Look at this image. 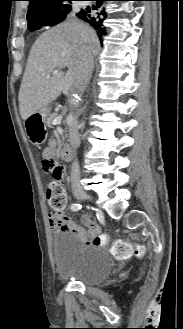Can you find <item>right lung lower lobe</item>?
Returning a JSON list of instances; mask_svg holds the SVG:
<instances>
[{
  "label": "right lung lower lobe",
  "instance_id": "1",
  "mask_svg": "<svg viewBox=\"0 0 183 329\" xmlns=\"http://www.w3.org/2000/svg\"><path fill=\"white\" fill-rule=\"evenodd\" d=\"M96 1L97 6H87L82 9L77 16L89 23L92 27L97 30L98 37L101 38L106 35V28L103 25L104 20L107 18L105 9L101 7L103 1H125V0H92Z\"/></svg>",
  "mask_w": 183,
  "mask_h": 329
}]
</instances>
